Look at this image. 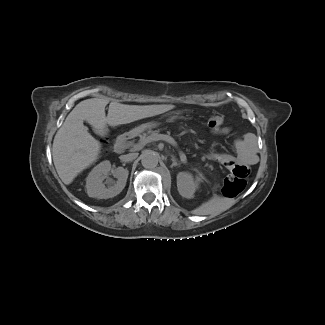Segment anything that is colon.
Here are the masks:
<instances>
[{"instance_id": "1", "label": "colon", "mask_w": 325, "mask_h": 325, "mask_svg": "<svg viewBox=\"0 0 325 325\" xmlns=\"http://www.w3.org/2000/svg\"><path fill=\"white\" fill-rule=\"evenodd\" d=\"M222 125L223 119L220 116L212 117L209 120V127L212 130L220 131ZM249 175L250 169L248 166L240 164L235 165L231 174L223 182L222 193L229 198L236 197L245 189Z\"/></svg>"}]
</instances>
